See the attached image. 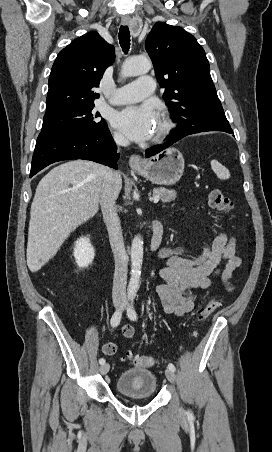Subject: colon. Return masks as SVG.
I'll return each instance as SVG.
<instances>
[{
  "instance_id": "5ec220e1",
  "label": "colon",
  "mask_w": 272,
  "mask_h": 452,
  "mask_svg": "<svg viewBox=\"0 0 272 452\" xmlns=\"http://www.w3.org/2000/svg\"><path fill=\"white\" fill-rule=\"evenodd\" d=\"M208 203L212 209L220 211L222 213H229L233 209V203L229 197H227L219 189H211L208 192ZM217 306V301L207 300L206 304L202 306L199 311V319L201 322H205ZM125 360L130 364L138 367H151L157 364V361L152 356L127 353Z\"/></svg>"
}]
</instances>
